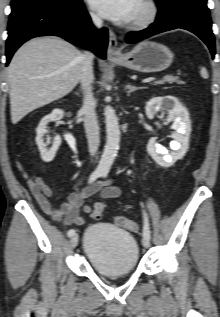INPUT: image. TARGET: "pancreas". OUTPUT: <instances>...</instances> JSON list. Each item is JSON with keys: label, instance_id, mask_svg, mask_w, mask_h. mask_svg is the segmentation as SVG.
Instances as JSON below:
<instances>
[{"label": "pancreas", "instance_id": "cf45deb5", "mask_svg": "<svg viewBox=\"0 0 220 317\" xmlns=\"http://www.w3.org/2000/svg\"><path fill=\"white\" fill-rule=\"evenodd\" d=\"M166 82H168V83H174V82H176V83H178V84H181V83H182V81L179 79V77L173 76V75H168V76L164 77L162 80L156 81L154 84H155V85H157V84H164V83H166Z\"/></svg>", "mask_w": 220, "mask_h": 317}]
</instances>
